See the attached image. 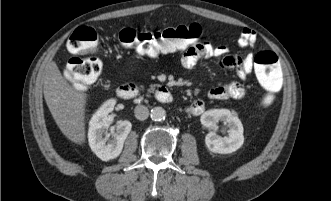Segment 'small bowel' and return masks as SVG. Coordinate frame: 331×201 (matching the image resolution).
Masks as SVG:
<instances>
[{
    "label": "small bowel",
    "mask_w": 331,
    "mask_h": 201,
    "mask_svg": "<svg viewBox=\"0 0 331 201\" xmlns=\"http://www.w3.org/2000/svg\"><path fill=\"white\" fill-rule=\"evenodd\" d=\"M257 42L255 31L244 28L237 40V44L242 47H254ZM220 58L221 65L225 69H235L237 76L244 80L251 73L254 58L248 53L244 58L229 54L228 47L224 45L214 46L210 43L196 44L184 51L181 56V65L184 68H193L203 59ZM246 90L242 84L237 81H229L223 85L215 86L208 90L207 96L215 100L241 99L245 96ZM205 103L201 99L194 100L186 107V112L193 116L203 113Z\"/></svg>",
    "instance_id": "obj_1"
}]
</instances>
